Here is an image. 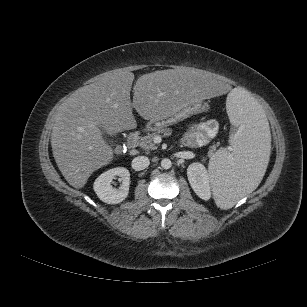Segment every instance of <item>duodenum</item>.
I'll list each match as a JSON object with an SVG mask.
<instances>
[{
	"mask_svg": "<svg viewBox=\"0 0 307 307\" xmlns=\"http://www.w3.org/2000/svg\"><path fill=\"white\" fill-rule=\"evenodd\" d=\"M139 139H140V132L139 131H135L133 132L127 140V148L128 149H135L138 146L139 143Z\"/></svg>",
	"mask_w": 307,
	"mask_h": 307,
	"instance_id": "1",
	"label": "duodenum"
}]
</instances>
